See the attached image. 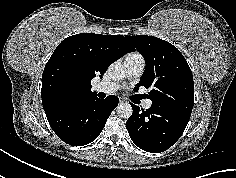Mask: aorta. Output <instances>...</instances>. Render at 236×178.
<instances>
[{
	"label": "aorta",
	"mask_w": 236,
	"mask_h": 178,
	"mask_svg": "<svg viewBox=\"0 0 236 178\" xmlns=\"http://www.w3.org/2000/svg\"><path fill=\"white\" fill-rule=\"evenodd\" d=\"M110 76L115 80H120L125 77V69L124 66L119 62L112 63L108 68ZM116 112L119 117L128 119L131 117L133 110L129 103H120L117 108Z\"/></svg>",
	"instance_id": "obj_1"
}]
</instances>
